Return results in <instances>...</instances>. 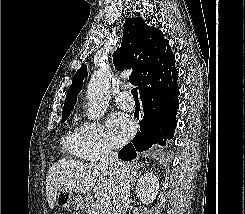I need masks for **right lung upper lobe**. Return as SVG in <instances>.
I'll return each mask as SVG.
<instances>
[{"instance_id": "1", "label": "right lung upper lobe", "mask_w": 245, "mask_h": 214, "mask_svg": "<svg viewBox=\"0 0 245 214\" xmlns=\"http://www.w3.org/2000/svg\"><path fill=\"white\" fill-rule=\"evenodd\" d=\"M173 57L169 42L164 39L161 30L146 24L142 18L126 19L121 48L113 54L114 64L117 70H133L129 81L138 86L139 91L146 76ZM86 73V65H82L75 73L65 99L63 114H70L74 108Z\"/></svg>"}]
</instances>
